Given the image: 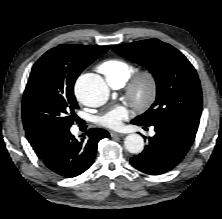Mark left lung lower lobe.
<instances>
[{
	"label": "left lung lower lobe",
	"mask_w": 222,
	"mask_h": 219,
	"mask_svg": "<svg viewBox=\"0 0 222 219\" xmlns=\"http://www.w3.org/2000/svg\"><path fill=\"white\" fill-rule=\"evenodd\" d=\"M132 123L151 126L136 121ZM152 125L156 134L148 138L149 143L144 151L132 157L130 162L144 173L159 175L182 161L195 139L197 128L177 120H165Z\"/></svg>",
	"instance_id": "1"
}]
</instances>
